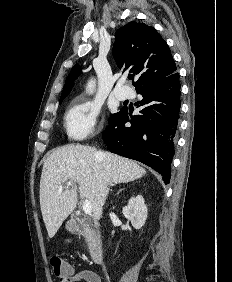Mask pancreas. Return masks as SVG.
<instances>
[{"label": "pancreas", "mask_w": 232, "mask_h": 282, "mask_svg": "<svg viewBox=\"0 0 232 282\" xmlns=\"http://www.w3.org/2000/svg\"><path fill=\"white\" fill-rule=\"evenodd\" d=\"M91 235H92V232L88 231V232L85 233V238L89 239L91 237Z\"/></svg>", "instance_id": "1"}]
</instances>
